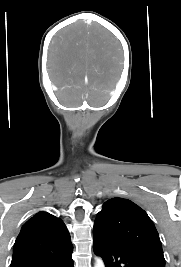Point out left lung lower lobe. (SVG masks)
Here are the masks:
<instances>
[{
	"instance_id": "obj_1",
	"label": "left lung lower lobe",
	"mask_w": 181,
	"mask_h": 267,
	"mask_svg": "<svg viewBox=\"0 0 181 267\" xmlns=\"http://www.w3.org/2000/svg\"><path fill=\"white\" fill-rule=\"evenodd\" d=\"M93 238V250L103 258L105 267H165L113 239L96 235Z\"/></svg>"
}]
</instances>
